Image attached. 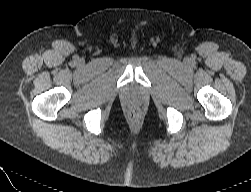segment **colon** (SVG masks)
<instances>
[{
	"label": "colon",
	"instance_id": "5ec220e1",
	"mask_svg": "<svg viewBox=\"0 0 251 192\" xmlns=\"http://www.w3.org/2000/svg\"><path fill=\"white\" fill-rule=\"evenodd\" d=\"M131 117H132L133 119L137 118V117H138V113H137L136 111H132V112H131Z\"/></svg>",
	"mask_w": 251,
	"mask_h": 192
}]
</instances>
